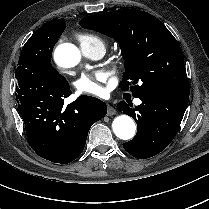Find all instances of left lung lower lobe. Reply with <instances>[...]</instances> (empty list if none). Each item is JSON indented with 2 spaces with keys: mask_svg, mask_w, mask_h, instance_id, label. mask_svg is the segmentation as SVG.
Listing matches in <instances>:
<instances>
[{
  "mask_svg": "<svg viewBox=\"0 0 209 209\" xmlns=\"http://www.w3.org/2000/svg\"><path fill=\"white\" fill-rule=\"evenodd\" d=\"M142 104L132 108L125 101L117 110L131 116L137 123L135 137L124 143V149L138 159H145L164 150L175 137L189 97L149 91L137 96Z\"/></svg>",
  "mask_w": 209,
  "mask_h": 209,
  "instance_id": "left-lung-lower-lobe-1",
  "label": "left lung lower lobe"
}]
</instances>
